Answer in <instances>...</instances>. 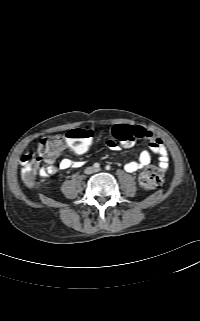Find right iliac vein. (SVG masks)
<instances>
[{
    "label": "right iliac vein",
    "instance_id": "63e3f726",
    "mask_svg": "<svg viewBox=\"0 0 200 321\" xmlns=\"http://www.w3.org/2000/svg\"><path fill=\"white\" fill-rule=\"evenodd\" d=\"M86 172H87L88 174L93 173V172H94V169H93L92 167H89V168L86 169Z\"/></svg>",
    "mask_w": 200,
    "mask_h": 321
}]
</instances>
